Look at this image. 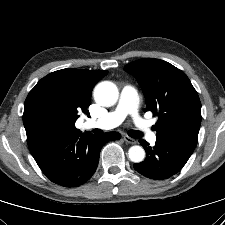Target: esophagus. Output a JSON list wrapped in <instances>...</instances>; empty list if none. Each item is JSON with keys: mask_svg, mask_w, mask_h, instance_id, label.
<instances>
[{"mask_svg": "<svg viewBox=\"0 0 225 225\" xmlns=\"http://www.w3.org/2000/svg\"><path fill=\"white\" fill-rule=\"evenodd\" d=\"M123 139L126 143H129V144H135L136 143V140L129 137V136H124Z\"/></svg>", "mask_w": 225, "mask_h": 225, "instance_id": "1", "label": "esophagus"}]
</instances>
